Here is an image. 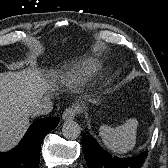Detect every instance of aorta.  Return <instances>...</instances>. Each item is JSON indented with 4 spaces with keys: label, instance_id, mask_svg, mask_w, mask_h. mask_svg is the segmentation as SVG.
<instances>
[{
    "label": "aorta",
    "instance_id": "aorta-1",
    "mask_svg": "<svg viewBox=\"0 0 168 168\" xmlns=\"http://www.w3.org/2000/svg\"><path fill=\"white\" fill-rule=\"evenodd\" d=\"M80 133L81 128L76 121H66L62 126V134L67 139H76Z\"/></svg>",
    "mask_w": 168,
    "mask_h": 168
}]
</instances>
